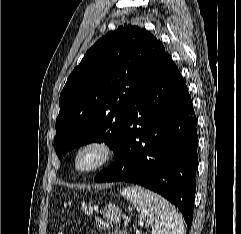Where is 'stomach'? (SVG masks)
Wrapping results in <instances>:
<instances>
[{
  "mask_svg": "<svg viewBox=\"0 0 241 234\" xmlns=\"http://www.w3.org/2000/svg\"><path fill=\"white\" fill-rule=\"evenodd\" d=\"M85 211H87V209ZM101 213L110 223H118L121 219V209L113 203L105 205Z\"/></svg>",
  "mask_w": 241,
  "mask_h": 234,
  "instance_id": "1",
  "label": "stomach"
}]
</instances>
